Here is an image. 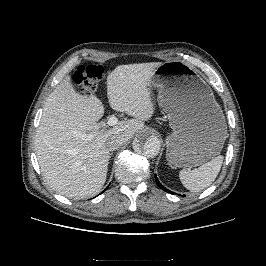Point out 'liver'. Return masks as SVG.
<instances>
[{"label": "liver", "instance_id": "liver-1", "mask_svg": "<svg viewBox=\"0 0 266 266\" xmlns=\"http://www.w3.org/2000/svg\"><path fill=\"white\" fill-rule=\"evenodd\" d=\"M161 64L119 65L108 75L109 105L133 117L112 128L99 122L104 115L102 102L93 94L78 93L70 76L56 86L44 103L35 138L40 169L52 189L76 199L94 196L102 189L110 159L106 141L120 135L128 142L152 117L149 82ZM75 131L93 138L84 141Z\"/></svg>", "mask_w": 266, "mask_h": 266}]
</instances>
